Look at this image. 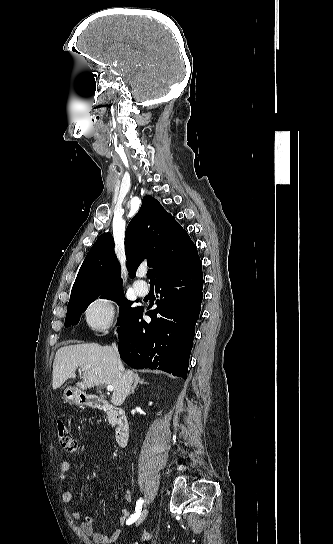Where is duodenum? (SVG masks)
<instances>
[{"label": "duodenum", "instance_id": "1", "mask_svg": "<svg viewBox=\"0 0 333 544\" xmlns=\"http://www.w3.org/2000/svg\"><path fill=\"white\" fill-rule=\"evenodd\" d=\"M80 402L88 407L105 410L111 416L115 425V440L119 447H124L129 438V423L125 412L108 401L92 396H81Z\"/></svg>", "mask_w": 333, "mask_h": 544}]
</instances>
